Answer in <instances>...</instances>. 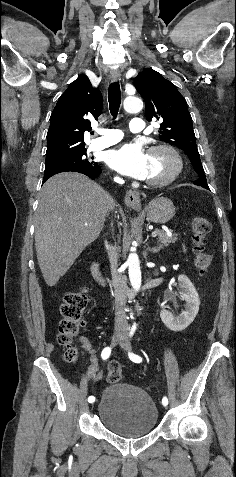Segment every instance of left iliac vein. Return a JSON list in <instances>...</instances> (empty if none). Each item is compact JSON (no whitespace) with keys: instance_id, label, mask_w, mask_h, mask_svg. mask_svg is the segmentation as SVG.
Here are the masks:
<instances>
[{"instance_id":"1","label":"left iliac vein","mask_w":236,"mask_h":477,"mask_svg":"<svg viewBox=\"0 0 236 477\" xmlns=\"http://www.w3.org/2000/svg\"><path fill=\"white\" fill-rule=\"evenodd\" d=\"M119 344L125 351L131 350V345L125 337L123 338V340ZM161 406H162V409L165 413L169 412V406L167 405V403L164 402V403H162Z\"/></svg>"}]
</instances>
